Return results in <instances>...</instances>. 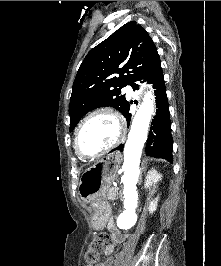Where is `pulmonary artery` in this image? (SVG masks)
I'll list each match as a JSON object with an SVG mask.
<instances>
[{
	"label": "pulmonary artery",
	"mask_w": 221,
	"mask_h": 266,
	"mask_svg": "<svg viewBox=\"0 0 221 266\" xmlns=\"http://www.w3.org/2000/svg\"><path fill=\"white\" fill-rule=\"evenodd\" d=\"M125 91H126L128 94H132V93H133L132 88H131L130 86H127V87L125 88Z\"/></svg>",
	"instance_id": "obj_1"
}]
</instances>
